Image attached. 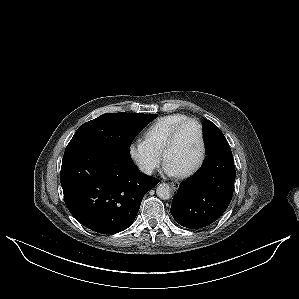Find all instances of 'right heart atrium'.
Here are the masks:
<instances>
[{
  "label": "right heart atrium",
  "mask_w": 299,
  "mask_h": 299,
  "mask_svg": "<svg viewBox=\"0 0 299 299\" xmlns=\"http://www.w3.org/2000/svg\"><path fill=\"white\" fill-rule=\"evenodd\" d=\"M131 154L144 172L150 173L158 166L157 154L149 149L145 141L134 144L131 147Z\"/></svg>",
  "instance_id": "obj_1"
}]
</instances>
